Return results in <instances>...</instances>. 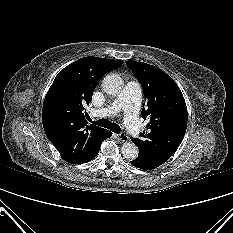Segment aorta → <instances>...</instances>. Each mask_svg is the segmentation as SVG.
<instances>
[{
  "label": "aorta",
  "instance_id": "aorta-1",
  "mask_svg": "<svg viewBox=\"0 0 233 233\" xmlns=\"http://www.w3.org/2000/svg\"><path fill=\"white\" fill-rule=\"evenodd\" d=\"M102 87L107 94L118 95L123 88V80L115 74L107 75L103 79ZM121 152L128 160H134L138 156V148L132 142H125L121 147Z\"/></svg>",
  "mask_w": 233,
  "mask_h": 233
}]
</instances>
